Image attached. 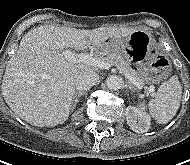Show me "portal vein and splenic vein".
Instances as JSON below:
<instances>
[{"label": "portal vein and splenic vein", "mask_w": 190, "mask_h": 165, "mask_svg": "<svg viewBox=\"0 0 190 165\" xmlns=\"http://www.w3.org/2000/svg\"><path fill=\"white\" fill-rule=\"evenodd\" d=\"M64 55L70 62H74V63L83 62V63H86V64L91 65L93 67H98L100 69H109L112 66L111 63L103 62L100 59L94 58V57H92L86 53L75 54L74 52H72L70 50H65ZM123 74L137 88L142 89L143 85L138 83L135 80V78H133L130 74H128V73H123ZM148 90L150 93H152L154 91V87L150 86Z\"/></svg>", "instance_id": "obj_1"}]
</instances>
